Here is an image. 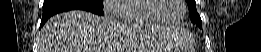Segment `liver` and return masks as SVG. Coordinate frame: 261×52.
Segmentation results:
<instances>
[{
  "label": "liver",
  "instance_id": "1",
  "mask_svg": "<svg viewBox=\"0 0 261 52\" xmlns=\"http://www.w3.org/2000/svg\"><path fill=\"white\" fill-rule=\"evenodd\" d=\"M163 34L164 31L144 29L142 25H124L114 17L74 10L46 22L39 36L38 52H116L123 37L124 43L130 42L140 50L155 49L161 46Z\"/></svg>",
  "mask_w": 261,
  "mask_h": 52
}]
</instances>
